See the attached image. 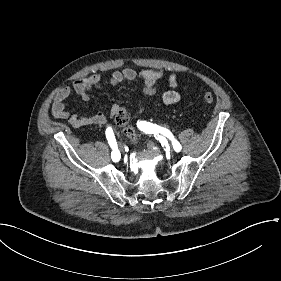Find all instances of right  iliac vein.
Listing matches in <instances>:
<instances>
[{
    "instance_id": "right-iliac-vein-1",
    "label": "right iliac vein",
    "mask_w": 281,
    "mask_h": 281,
    "mask_svg": "<svg viewBox=\"0 0 281 281\" xmlns=\"http://www.w3.org/2000/svg\"><path fill=\"white\" fill-rule=\"evenodd\" d=\"M119 150L123 151V147L121 145H119Z\"/></svg>"
}]
</instances>
